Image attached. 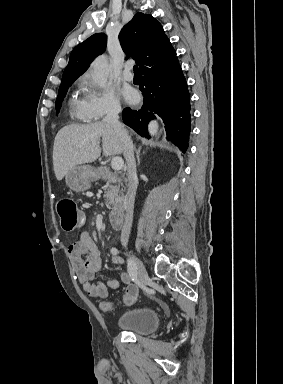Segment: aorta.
Wrapping results in <instances>:
<instances>
[{"mask_svg":"<svg viewBox=\"0 0 283 384\" xmlns=\"http://www.w3.org/2000/svg\"><path fill=\"white\" fill-rule=\"evenodd\" d=\"M108 75H109V68H108L107 57L105 55H101L92 62L93 79L99 87L103 88L106 86ZM158 129H159V126L156 121H152L149 124L150 134L152 135L157 134Z\"/></svg>","mask_w":283,"mask_h":384,"instance_id":"762f6f07","label":"aorta"}]
</instances>
